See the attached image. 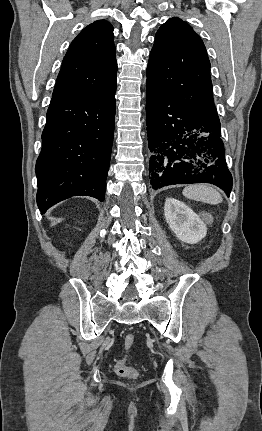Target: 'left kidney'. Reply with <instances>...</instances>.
Segmentation results:
<instances>
[{
    "mask_svg": "<svg viewBox=\"0 0 262 431\" xmlns=\"http://www.w3.org/2000/svg\"><path fill=\"white\" fill-rule=\"evenodd\" d=\"M164 216L176 237L185 243L195 244L207 233L200 217L188 206L174 198H168L164 206Z\"/></svg>",
    "mask_w": 262,
    "mask_h": 431,
    "instance_id": "left-kidney-1",
    "label": "left kidney"
}]
</instances>
